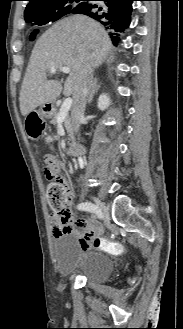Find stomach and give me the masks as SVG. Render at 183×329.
I'll return each mask as SVG.
<instances>
[{
  "mask_svg": "<svg viewBox=\"0 0 183 329\" xmlns=\"http://www.w3.org/2000/svg\"><path fill=\"white\" fill-rule=\"evenodd\" d=\"M56 109H55V102H49V103H45L41 106L39 114L43 117H50L51 115H53L55 113Z\"/></svg>",
  "mask_w": 183,
  "mask_h": 329,
  "instance_id": "stomach-1",
  "label": "stomach"
}]
</instances>
